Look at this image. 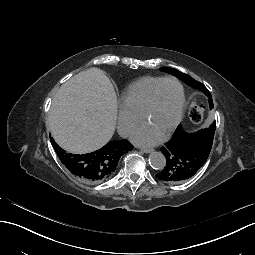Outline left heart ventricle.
Segmentation results:
<instances>
[{
  "instance_id": "1",
  "label": "left heart ventricle",
  "mask_w": 255,
  "mask_h": 255,
  "mask_svg": "<svg viewBox=\"0 0 255 255\" xmlns=\"http://www.w3.org/2000/svg\"><path fill=\"white\" fill-rule=\"evenodd\" d=\"M179 105V86L174 82L164 83L157 91L154 106L142 125L163 137L174 123Z\"/></svg>"
}]
</instances>
